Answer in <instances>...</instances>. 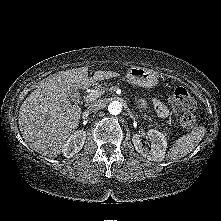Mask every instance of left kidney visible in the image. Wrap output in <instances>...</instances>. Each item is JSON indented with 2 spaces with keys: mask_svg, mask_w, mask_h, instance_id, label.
Wrapping results in <instances>:
<instances>
[{
  "mask_svg": "<svg viewBox=\"0 0 221 221\" xmlns=\"http://www.w3.org/2000/svg\"><path fill=\"white\" fill-rule=\"evenodd\" d=\"M147 135L151 141V149L143 147L139 134L133 135L132 142L136 151L148 160L157 162L162 161L165 158L167 149V139L165 135L154 129H150Z\"/></svg>",
  "mask_w": 221,
  "mask_h": 221,
  "instance_id": "5707ae66",
  "label": "left kidney"
}]
</instances>
